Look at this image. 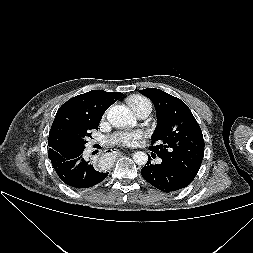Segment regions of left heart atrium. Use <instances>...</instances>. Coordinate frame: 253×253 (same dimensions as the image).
Listing matches in <instances>:
<instances>
[{
	"label": "left heart atrium",
	"instance_id": "1",
	"mask_svg": "<svg viewBox=\"0 0 253 253\" xmlns=\"http://www.w3.org/2000/svg\"><path fill=\"white\" fill-rule=\"evenodd\" d=\"M144 136L143 131H124L119 132L109 138L108 142L112 144H119L124 146L135 145L136 142Z\"/></svg>",
	"mask_w": 253,
	"mask_h": 253
}]
</instances>
